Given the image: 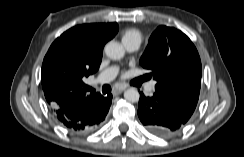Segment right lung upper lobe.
Returning a JSON list of instances; mask_svg holds the SVG:
<instances>
[{
    "instance_id": "cb5924a9",
    "label": "right lung upper lobe",
    "mask_w": 244,
    "mask_h": 157,
    "mask_svg": "<svg viewBox=\"0 0 244 157\" xmlns=\"http://www.w3.org/2000/svg\"><path fill=\"white\" fill-rule=\"evenodd\" d=\"M118 32L117 23L83 24L58 37L42 65L41 80L50 106L68 109L76 101L90 100L82 79L95 73L103 47Z\"/></svg>"
}]
</instances>
